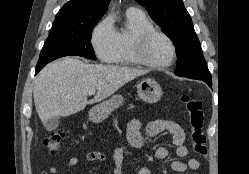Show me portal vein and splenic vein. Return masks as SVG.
<instances>
[{"instance_id": "1", "label": "portal vein and splenic vein", "mask_w": 249, "mask_h": 174, "mask_svg": "<svg viewBox=\"0 0 249 174\" xmlns=\"http://www.w3.org/2000/svg\"><path fill=\"white\" fill-rule=\"evenodd\" d=\"M95 90H91V91H89V95H93V94H95Z\"/></svg>"}]
</instances>
